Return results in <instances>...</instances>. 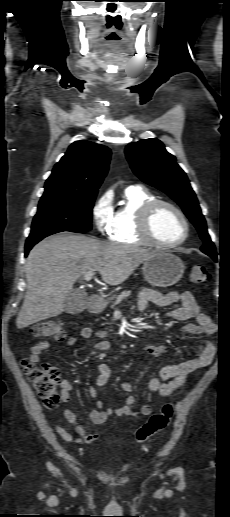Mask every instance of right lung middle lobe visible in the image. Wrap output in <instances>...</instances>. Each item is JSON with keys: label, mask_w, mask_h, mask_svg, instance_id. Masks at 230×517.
Here are the masks:
<instances>
[{"label": "right lung middle lobe", "mask_w": 230, "mask_h": 517, "mask_svg": "<svg viewBox=\"0 0 230 517\" xmlns=\"http://www.w3.org/2000/svg\"><path fill=\"white\" fill-rule=\"evenodd\" d=\"M96 194L41 197L28 238L62 231L81 233L91 230Z\"/></svg>", "instance_id": "1"}]
</instances>
